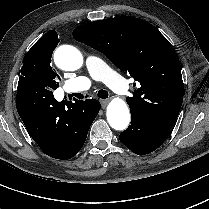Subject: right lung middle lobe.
<instances>
[{
  "label": "right lung middle lobe",
  "instance_id": "dd1d6c3e",
  "mask_svg": "<svg viewBox=\"0 0 209 209\" xmlns=\"http://www.w3.org/2000/svg\"><path fill=\"white\" fill-rule=\"evenodd\" d=\"M56 45L49 41L36 42L23 59L19 83L31 84L47 94L59 87L60 77L51 64Z\"/></svg>",
  "mask_w": 209,
  "mask_h": 209
}]
</instances>
